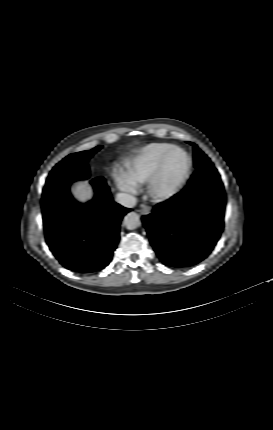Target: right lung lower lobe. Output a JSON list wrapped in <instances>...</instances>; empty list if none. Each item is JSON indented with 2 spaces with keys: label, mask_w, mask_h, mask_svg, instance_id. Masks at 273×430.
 Segmentation results:
<instances>
[{
  "label": "right lung lower lobe",
  "mask_w": 273,
  "mask_h": 430,
  "mask_svg": "<svg viewBox=\"0 0 273 430\" xmlns=\"http://www.w3.org/2000/svg\"><path fill=\"white\" fill-rule=\"evenodd\" d=\"M95 197L75 201L69 185L42 197L46 242L59 262L79 273L104 269L119 242L120 223L130 211L115 203L103 177L91 180Z\"/></svg>",
  "instance_id": "98d812e1"
}]
</instances>
